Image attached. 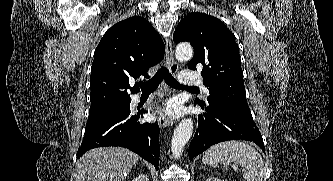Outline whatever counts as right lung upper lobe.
Here are the masks:
<instances>
[{
    "label": "right lung upper lobe",
    "mask_w": 333,
    "mask_h": 181,
    "mask_svg": "<svg viewBox=\"0 0 333 181\" xmlns=\"http://www.w3.org/2000/svg\"><path fill=\"white\" fill-rule=\"evenodd\" d=\"M164 43L152 25L143 17L134 16L112 26L103 36L94 53L91 67L90 110L131 100L127 89L137 93L138 83L129 81L143 75L164 56Z\"/></svg>",
    "instance_id": "cb5924a9"
}]
</instances>
